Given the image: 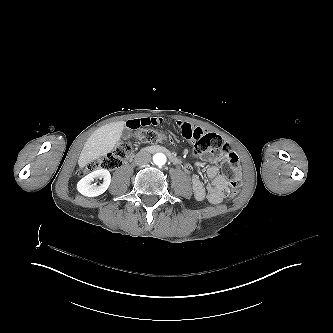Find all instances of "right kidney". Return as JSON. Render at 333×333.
I'll use <instances>...</instances> for the list:
<instances>
[{"label":"right kidney","instance_id":"1","mask_svg":"<svg viewBox=\"0 0 333 333\" xmlns=\"http://www.w3.org/2000/svg\"><path fill=\"white\" fill-rule=\"evenodd\" d=\"M95 177L103 178V183L100 186L91 184ZM111 184V174L107 169L95 170L80 179L76 185L77 191L85 197H97L102 195Z\"/></svg>","mask_w":333,"mask_h":333}]
</instances>
